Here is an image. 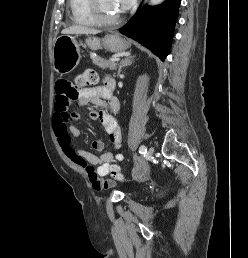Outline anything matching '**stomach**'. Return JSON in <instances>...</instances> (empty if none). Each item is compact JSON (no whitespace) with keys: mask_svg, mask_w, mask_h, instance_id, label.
Returning a JSON list of instances; mask_svg holds the SVG:
<instances>
[{"mask_svg":"<svg viewBox=\"0 0 248 258\" xmlns=\"http://www.w3.org/2000/svg\"><path fill=\"white\" fill-rule=\"evenodd\" d=\"M75 37L59 36L53 45V66L56 72L67 74L73 71L81 59L80 46ZM86 45L92 50L104 47L110 52H122L130 47V43L117 34H109L102 41L95 37L86 40Z\"/></svg>","mask_w":248,"mask_h":258,"instance_id":"stomach-1","label":"stomach"}]
</instances>
